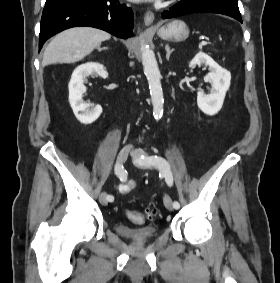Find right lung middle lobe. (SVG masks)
Masks as SVG:
<instances>
[{"label": "right lung middle lobe", "instance_id": "right-lung-middle-lobe-1", "mask_svg": "<svg viewBox=\"0 0 280 283\" xmlns=\"http://www.w3.org/2000/svg\"><path fill=\"white\" fill-rule=\"evenodd\" d=\"M56 0H46V3L45 4H48V3H51V2H54Z\"/></svg>", "mask_w": 280, "mask_h": 283}]
</instances>
